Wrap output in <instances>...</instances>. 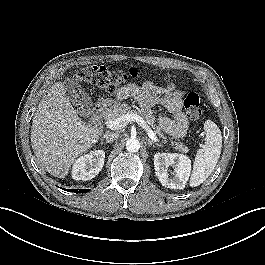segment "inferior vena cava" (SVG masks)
Wrapping results in <instances>:
<instances>
[{"label":"inferior vena cava","instance_id":"obj_1","mask_svg":"<svg viewBox=\"0 0 265 265\" xmlns=\"http://www.w3.org/2000/svg\"><path fill=\"white\" fill-rule=\"evenodd\" d=\"M103 136L106 140L113 141L119 137V134L114 132H105Z\"/></svg>","mask_w":265,"mask_h":265}]
</instances>
